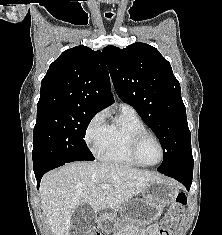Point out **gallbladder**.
Masks as SVG:
<instances>
[{
	"label": "gallbladder",
	"mask_w": 222,
	"mask_h": 235,
	"mask_svg": "<svg viewBox=\"0 0 222 235\" xmlns=\"http://www.w3.org/2000/svg\"><path fill=\"white\" fill-rule=\"evenodd\" d=\"M95 222V213L88 204L79 205L71 217L70 235H87Z\"/></svg>",
	"instance_id": "obj_1"
}]
</instances>
